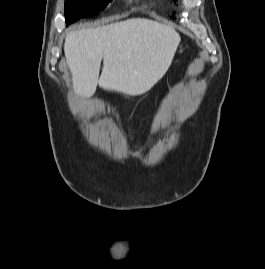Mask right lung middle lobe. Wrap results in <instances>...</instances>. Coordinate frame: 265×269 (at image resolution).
Returning <instances> with one entry per match:
<instances>
[{
  "label": "right lung middle lobe",
  "instance_id": "1",
  "mask_svg": "<svg viewBox=\"0 0 265 269\" xmlns=\"http://www.w3.org/2000/svg\"><path fill=\"white\" fill-rule=\"evenodd\" d=\"M112 0H65L66 24L98 14Z\"/></svg>",
  "mask_w": 265,
  "mask_h": 269
}]
</instances>
